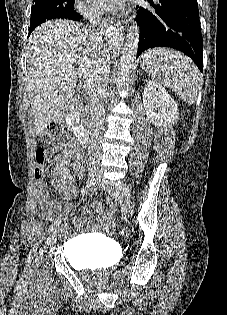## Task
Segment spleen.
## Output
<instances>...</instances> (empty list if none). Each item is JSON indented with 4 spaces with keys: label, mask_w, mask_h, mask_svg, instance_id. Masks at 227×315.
Wrapping results in <instances>:
<instances>
[{
    "label": "spleen",
    "mask_w": 227,
    "mask_h": 315,
    "mask_svg": "<svg viewBox=\"0 0 227 315\" xmlns=\"http://www.w3.org/2000/svg\"><path fill=\"white\" fill-rule=\"evenodd\" d=\"M141 66L158 82L177 92L186 102H195L200 77L197 67L188 57L166 48L151 49L142 55Z\"/></svg>",
    "instance_id": "1"
}]
</instances>
